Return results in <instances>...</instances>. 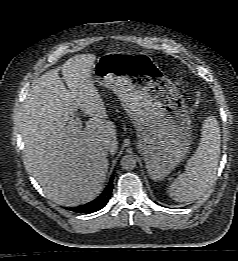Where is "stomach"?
Instances as JSON below:
<instances>
[{
	"mask_svg": "<svg viewBox=\"0 0 238 261\" xmlns=\"http://www.w3.org/2000/svg\"><path fill=\"white\" fill-rule=\"evenodd\" d=\"M92 75L118 96L136 127L148 174L163 180L184 159L192 140L177 87L144 55L105 54L95 62Z\"/></svg>",
	"mask_w": 238,
	"mask_h": 261,
	"instance_id": "0dacf381",
	"label": "stomach"
}]
</instances>
